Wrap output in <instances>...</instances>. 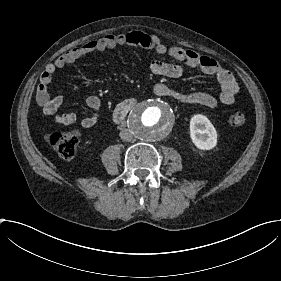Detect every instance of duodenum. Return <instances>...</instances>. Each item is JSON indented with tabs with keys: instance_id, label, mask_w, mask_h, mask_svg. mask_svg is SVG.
<instances>
[{
	"instance_id": "1",
	"label": "duodenum",
	"mask_w": 281,
	"mask_h": 281,
	"mask_svg": "<svg viewBox=\"0 0 281 281\" xmlns=\"http://www.w3.org/2000/svg\"><path fill=\"white\" fill-rule=\"evenodd\" d=\"M135 104L136 101L134 99H128L118 104L113 112L114 122L118 124L123 123Z\"/></svg>"
}]
</instances>
